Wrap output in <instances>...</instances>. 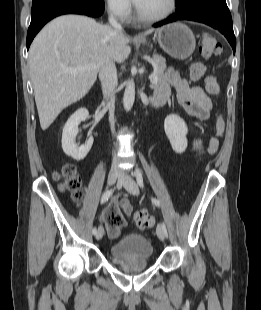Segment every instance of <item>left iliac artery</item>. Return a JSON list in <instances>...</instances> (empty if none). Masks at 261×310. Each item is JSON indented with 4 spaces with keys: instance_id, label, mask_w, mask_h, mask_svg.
<instances>
[{
    "instance_id": "44dca946",
    "label": "left iliac artery",
    "mask_w": 261,
    "mask_h": 310,
    "mask_svg": "<svg viewBox=\"0 0 261 310\" xmlns=\"http://www.w3.org/2000/svg\"><path fill=\"white\" fill-rule=\"evenodd\" d=\"M135 177H136V181H137L138 185H139L141 188H144L143 177H142V173H141V171H140L139 168H136V170H135ZM151 200H152V202H153L157 207L160 206V202H159L156 198H151ZM162 226H163V230H164L165 236L168 237V233H167V229H166L165 224L163 223Z\"/></svg>"
}]
</instances>
